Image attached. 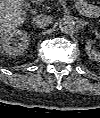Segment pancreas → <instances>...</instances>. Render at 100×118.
Segmentation results:
<instances>
[{
  "instance_id": "1",
  "label": "pancreas",
  "mask_w": 100,
  "mask_h": 118,
  "mask_svg": "<svg viewBox=\"0 0 100 118\" xmlns=\"http://www.w3.org/2000/svg\"><path fill=\"white\" fill-rule=\"evenodd\" d=\"M45 0H37V4H41V3H43ZM46 8L48 9L49 7L48 6H46Z\"/></svg>"
}]
</instances>
